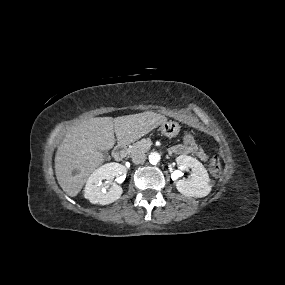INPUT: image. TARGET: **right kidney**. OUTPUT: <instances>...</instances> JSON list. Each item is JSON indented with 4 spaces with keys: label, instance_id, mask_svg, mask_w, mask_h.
<instances>
[{
    "label": "right kidney",
    "instance_id": "obj_1",
    "mask_svg": "<svg viewBox=\"0 0 285 285\" xmlns=\"http://www.w3.org/2000/svg\"><path fill=\"white\" fill-rule=\"evenodd\" d=\"M124 171L125 167L116 162L99 167L88 178L84 189V197L92 204L106 205L116 201L123 193L122 187L114 184L107 188L102 181H110Z\"/></svg>",
    "mask_w": 285,
    "mask_h": 285
}]
</instances>
